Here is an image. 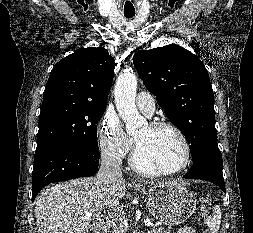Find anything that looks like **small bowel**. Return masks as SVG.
I'll return each instance as SVG.
<instances>
[{"label": "small bowel", "mask_w": 253, "mask_h": 233, "mask_svg": "<svg viewBox=\"0 0 253 233\" xmlns=\"http://www.w3.org/2000/svg\"><path fill=\"white\" fill-rule=\"evenodd\" d=\"M177 233H195V230L190 226L181 228Z\"/></svg>", "instance_id": "obj_1"}]
</instances>
